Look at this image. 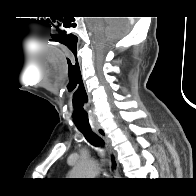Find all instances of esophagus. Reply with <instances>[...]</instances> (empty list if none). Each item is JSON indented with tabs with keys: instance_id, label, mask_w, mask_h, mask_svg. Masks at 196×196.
<instances>
[{
	"instance_id": "1",
	"label": "esophagus",
	"mask_w": 196,
	"mask_h": 196,
	"mask_svg": "<svg viewBox=\"0 0 196 196\" xmlns=\"http://www.w3.org/2000/svg\"><path fill=\"white\" fill-rule=\"evenodd\" d=\"M93 130L104 140L108 152V157H109L110 171L113 173L114 178L118 179L119 162L117 159V153L111 144V140L108 138L105 130L101 126L94 127Z\"/></svg>"
}]
</instances>
